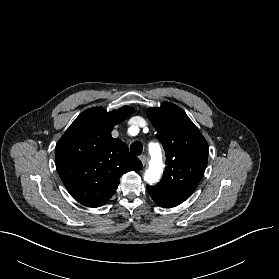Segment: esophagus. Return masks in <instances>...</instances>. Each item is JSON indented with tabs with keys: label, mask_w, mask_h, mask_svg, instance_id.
Here are the masks:
<instances>
[{
	"label": "esophagus",
	"mask_w": 279,
	"mask_h": 279,
	"mask_svg": "<svg viewBox=\"0 0 279 279\" xmlns=\"http://www.w3.org/2000/svg\"><path fill=\"white\" fill-rule=\"evenodd\" d=\"M139 159H140V161L142 162L143 165H146V163H147L146 155L139 156Z\"/></svg>",
	"instance_id": "obj_1"
}]
</instances>
